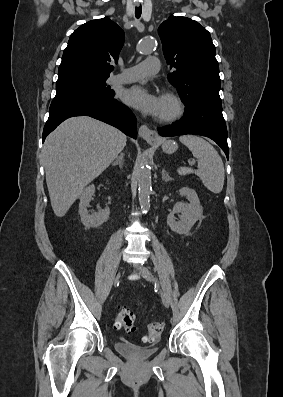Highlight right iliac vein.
Segmentation results:
<instances>
[{"label":"right iliac vein","instance_id":"63e3f726","mask_svg":"<svg viewBox=\"0 0 283 397\" xmlns=\"http://www.w3.org/2000/svg\"><path fill=\"white\" fill-rule=\"evenodd\" d=\"M120 278V274H118L115 278V282Z\"/></svg>","mask_w":283,"mask_h":397}]
</instances>
